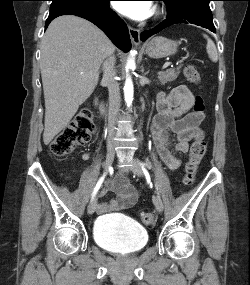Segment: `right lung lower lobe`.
I'll use <instances>...</instances> for the list:
<instances>
[{
    "mask_svg": "<svg viewBox=\"0 0 250 285\" xmlns=\"http://www.w3.org/2000/svg\"><path fill=\"white\" fill-rule=\"evenodd\" d=\"M110 0H102L97 5L88 7H71L49 14L45 28L56 17L76 15L89 20L98 26L110 40L121 50L128 52L131 48L130 37L126 24L109 7Z\"/></svg>",
    "mask_w": 250,
    "mask_h": 285,
    "instance_id": "right-lung-lower-lobe-1",
    "label": "right lung lower lobe"
}]
</instances>
